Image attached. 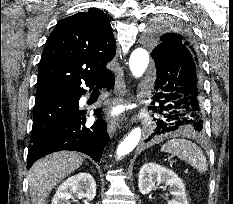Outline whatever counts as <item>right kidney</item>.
Instances as JSON below:
<instances>
[{"mask_svg":"<svg viewBox=\"0 0 233 204\" xmlns=\"http://www.w3.org/2000/svg\"><path fill=\"white\" fill-rule=\"evenodd\" d=\"M73 194L84 198L85 203L96 196V183L89 173H78L66 179L57 189L51 204H70Z\"/></svg>","mask_w":233,"mask_h":204,"instance_id":"ca27d5eb","label":"right kidney"}]
</instances>
